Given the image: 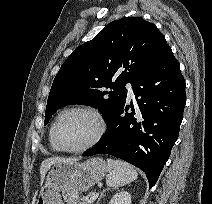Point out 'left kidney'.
I'll return each mask as SVG.
<instances>
[{"label": "left kidney", "instance_id": "obj_1", "mask_svg": "<svg viewBox=\"0 0 212 204\" xmlns=\"http://www.w3.org/2000/svg\"><path fill=\"white\" fill-rule=\"evenodd\" d=\"M109 204H131V195L127 191L115 194Z\"/></svg>", "mask_w": 212, "mask_h": 204}]
</instances>
